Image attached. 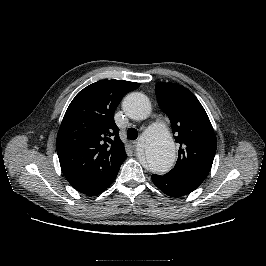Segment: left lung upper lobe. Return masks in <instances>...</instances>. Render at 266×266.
Segmentation results:
<instances>
[{
  "label": "left lung upper lobe",
  "instance_id": "5c2ea615",
  "mask_svg": "<svg viewBox=\"0 0 266 266\" xmlns=\"http://www.w3.org/2000/svg\"><path fill=\"white\" fill-rule=\"evenodd\" d=\"M156 95L180 144L178 160L166 175L198 187L210 172L217 147L207 113L196 96L181 85L159 82Z\"/></svg>",
  "mask_w": 266,
  "mask_h": 266
}]
</instances>
